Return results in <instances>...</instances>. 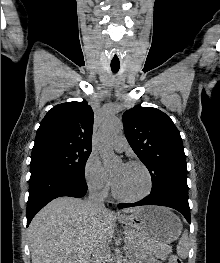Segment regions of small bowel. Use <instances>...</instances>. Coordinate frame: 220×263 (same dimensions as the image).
Listing matches in <instances>:
<instances>
[{"mask_svg": "<svg viewBox=\"0 0 220 263\" xmlns=\"http://www.w3.org/2000/svg\"><path fill=\"white\" fill-rule=\"evenodd\" d=\"M148 263H161V262L158 260H150Z\"/></svg>", "mask_w": 220, "mask_h": 263, "instance_id": "small-bowel-1", "label": "small bowel"}]
</instances>
